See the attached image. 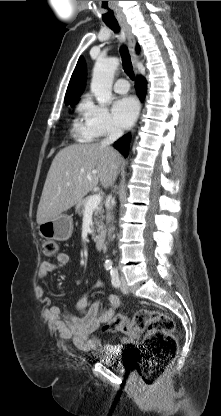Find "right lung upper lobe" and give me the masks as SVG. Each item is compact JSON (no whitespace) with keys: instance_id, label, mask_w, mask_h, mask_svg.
<instances>
[{"instance_id":"1","label":"right lung upper lobe","mask_w":221,"mask_h":416,"mask_svg":"<svg viewBox=\"0 0 221 416\" xmlns=\"http://www.w3.org/2000/svg\"><path fill=\"white\" fill-rule=\"evenodd\" d=\"M139 47L137 46V51ZM86 81V66L82 57L79 58L75 70L71 76L66 95L65 103L78 101Z\"/></svg>"}]
</instances>
